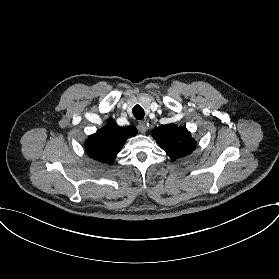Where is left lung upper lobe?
Masks as SVG:
<instances>
[{"label": "left lung upper lobe", "mask_w": 279, "mask_h": 279, "mask_svg": "<svg viewBox=\"0 0 279 279\" xmlns=\"http://www.w3.org/2000/svg\"><path fill=\"white\" fill-rule=\"evenodd\" d=\"M151 134L173 160L186 156L195 149L196 143L185 126L161 125L158 129H154Z\"/></svg>", "instance_id": "5c2ea615"}]
</instances>
